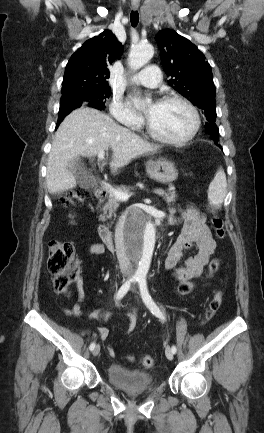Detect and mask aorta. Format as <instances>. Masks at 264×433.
<instances>
[{
  "label": "aorta",
  "mask_w": 264,
  "mask_h": 433,
  "mask_svg": "<svg viewBox=\"0 0 264 433\" xmlns=\"http://www.w3.org/2000/svg\"><path fill=\"white\" fill-rule=\"evenodd\" d=\"M154 55L153 46L150 44L138 45L131 49L128 57L129 65L133 70L143 67ZM155 227L152 222L146 223L143 231L142 246L137 258L135 277L146 278L155 247Z\"/></svg>",
  "instance_id": "1"
}]
</instances>
